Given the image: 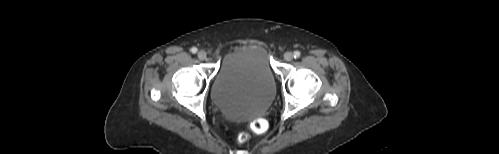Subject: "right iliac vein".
<instances>
[{"label": "right iliac vein", "instance_id": "1", "mask_svg": "<svg viewBox=\"0 0 499 154\" xmlns=\"http://www.w3.org/2000/svg\"><path fill=\"white\" fill-rule=\"evenodd\" d=\"M198 58L200 60H205L207 58V53L205 51H203V50L200 51V52H198Z\"/></svg>", "mask_w": 499, "mask_h": 154}]
</instances>
